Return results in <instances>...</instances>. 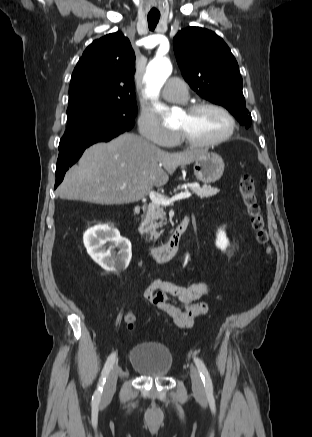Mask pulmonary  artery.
<instances>
[{"label":"pulmonary artery","instance_id":"1","mask_svg":"<svg viewBox=\"0 0 312 437\" xmlns=\"http://www.w3.org/2000/svg\"><path fill=\"white\" fill-rule=\"evenodd\" d=\"M162 95L168 101L183 103L188 99V88L183 80L171 78L165 83Z\"/></svg>","mask_w":312,"mask_h":437}]
</instances>
